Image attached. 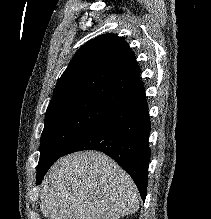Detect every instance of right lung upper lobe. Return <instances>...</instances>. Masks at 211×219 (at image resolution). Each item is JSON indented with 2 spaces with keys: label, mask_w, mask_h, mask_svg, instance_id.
<instances>
[{
  "label": "right lung upper lobe",
  "mask_w": 211,
  "mask_h": 219,
  "mask_svg": "<svg viewBox=\"0 0 211 219\" xmlns=\"http://www.w3.org/2000/svg\"><path fill=\"white\" fill-rule=\"evenodd\" d=\"M134 53L121 37L100 35L74 55L56 84L49 106L84 97L120 105L144 91Z\"/></svg>",
  "instance_id": "cb5924a9"
}]
</instances>
